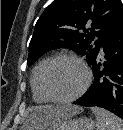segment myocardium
<instances>
[{
  "mask_svg": "<svg viewBox=\"0 0 123 130\" xmlns=\"http://www.w3.org/2000/svg\"><path fill=\"white\" fill-rule=\"evenodd\" d=\"M60 60H72L78 63L85 73V81L82 87L80 88V90L76 94L68 98H60V97L55 96L51 92L48 85L49 72L51 68L53 67V65ZM91 81H92V72L90 68L88 67V65L85 63L83 59H81L80 57L72 53H60L50 58V60L45 65L41 74V88L44 95L48 98L49 101L60 103V104L72 103L76 101L77 99H79L87 91V89L89 88L91 84Z\"/></svg>",
  "mask_w": 123,
  "mask_h": 130,
  "instance_id": "myocardium-1",
  "label": "myocardium"
}]
</instances>
